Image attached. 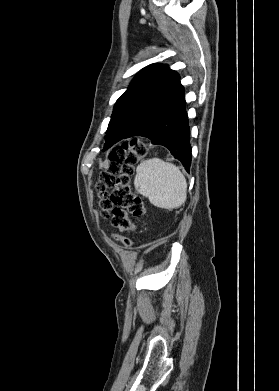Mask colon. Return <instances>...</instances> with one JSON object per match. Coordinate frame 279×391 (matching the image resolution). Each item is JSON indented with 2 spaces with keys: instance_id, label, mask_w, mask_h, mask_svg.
Returning <instances> with one entry per match:
<instances>
[{
  "instance_id": "colon-1",
  "label": "colon",
  "mask_w": 279,
  "mask_h": 391,
  "mask_svg": "<svg viewBox=\"0 0 279 391\" xmlns=\"http://www.w3.org/2000/svg\"><path fill=\"white\" fill-rule=\"evenodd\" d=\"M146 154L147 147L139 140L122 143L111 152L108 165L101 172L97 183L100 213L110 218L113 227L121 232H135L138 229L128 213L137 220L146 213L144 201L130 186L134 167ZM116 238L124 246L131 245L128 238Z\"/></svg>"
}]
</instances>
